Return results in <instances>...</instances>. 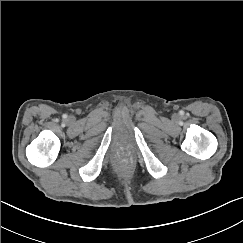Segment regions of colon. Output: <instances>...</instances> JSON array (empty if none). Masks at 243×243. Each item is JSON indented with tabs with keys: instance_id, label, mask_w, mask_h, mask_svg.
Instances as JSON below:
<instances>
[{
	"instance_id": "1",
	"label": "colon",
	"mask_w": 243,
	"mask_h": 243,
	"mask_svg": "<svg viewBox=\"0 0 243 243\" xmlns=\"http://www.w3.org/2000/svg\"><path fill=\"white\" fill-rule=\"evenodd\" d=\"M117 163H118V165L121 166V167H126V166H127V162H126V160L123 159V158L118 159V160H117Z\"/></svg>"
}]
</instances>
